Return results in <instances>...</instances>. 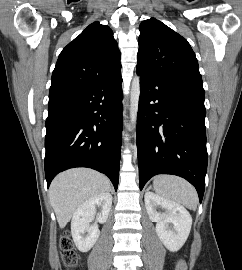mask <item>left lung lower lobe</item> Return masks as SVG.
<instances>
[{
    "mask_svg": "<svg viewBox=\"0 0 242 270\" xmlns=\"http://www.w3.org/2000/svg\"><path fill=\"white\" fill-rule=\"evenodd\" d=\"M136 71L141 87L137 116L140 189L154 175H178L195 186L201 202L208 161L205 95Z\"/></svg>",
    "mask_w": 242,
    "mask_h": 270,
    "instance_id": "obj_1",
    "label": "left lung lower lobe"
}]
</instances>
